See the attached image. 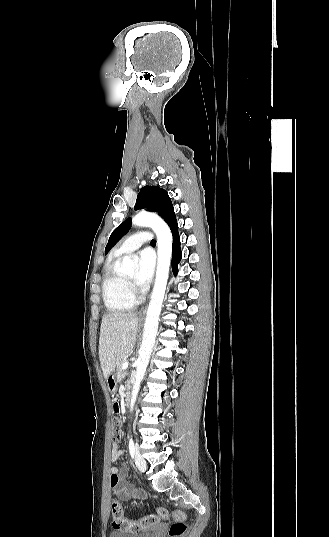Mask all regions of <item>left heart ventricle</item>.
I'll use <instances>...</instances> for the list:
<instances>
[{"mask_svg": "<svg viewBox=\"0 0 329 537\" xmlns=\"http://www.w3.org/2000/svg\"><path fill=\"white\" fill-rule=\"evenodd\" d=\"M126 277L129 279V280H132L134 277H135V271H132V272H129L126 274Z\"/></svg>", "mask_w": 329, "mask_h": 537, "instance_id": "1", "label": "left heart ventricle"}]
</instances>
